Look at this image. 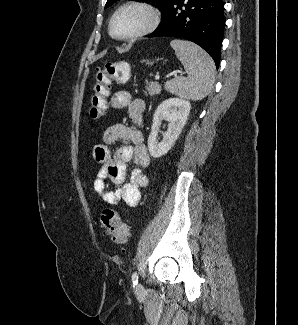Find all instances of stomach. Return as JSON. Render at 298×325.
<instances>
[{
  "instance_id": "1",
  "label": "stomach",
  "mask_w": 298,
  "mask_h": 325,
  "mask_svg": "<svg viewBox=\"0 0 298 325\" xmlns=\"http://www.w3.org/2000/svg\"><path fill=\"white\" fill-rule=\"evenodd\" d=\"M143 62H145L146 66H149V68H151V66H153V64H155L156 60H155V58H145V60H143Z\"/></svg>"
}]
</instances>
